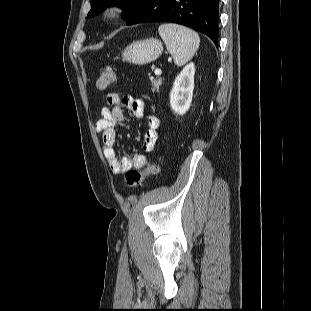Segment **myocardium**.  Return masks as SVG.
Wrapping results in <instances>:
<instances>
[{"label":"myocardium","mask_w":311,"mask_h":311,"mask_svg":"<svg viewBox=\"0 0 311 311\" xmlns=\"http://www.w3.org/2000/svg\"><path fill=\"white\" fill-rule=\"evenodd\" d=\"M124 9L118 5H112L106 8L105 17L108 21H115L122 16Z\"/></svg>","instance_id":"f54148a6"}]
</instances>
